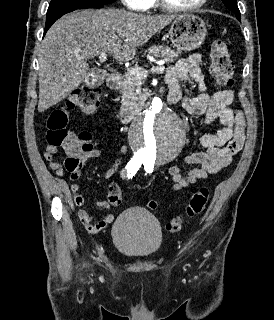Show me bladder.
Masks as SVG:
<instances>
[{"instance_id":"1","label":"bladder","mask_w":274,"mask_h":320,"mask_svg":"<svg viewBox=\"0 0 274 320\" xmlns=\"http://www.w3.org/2000/svg\"><path fill=\"white\" fill-rule=\"evenodd\" d=\"M112 237L119 252L136 259L149 258L163 242L159 222L143 208L124 210L113 224Z\"/></svg>"}]
</instances>
